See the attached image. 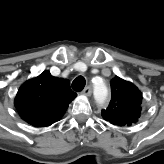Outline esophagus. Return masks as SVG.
<instances>
[{"label":"esophagus","instance_id":"34e87169","mask_svg":"<svg viewBox=\"0 0 164 164\" xmlns=\"http://www.w3.org/2000/svg\"><path fill=\"white\" fill-rule=\"evenodd\" d=\"M82 94L85 96H91V94H92L91 86L85 87L84 90L82 91Z\"/></svg>","mask_w":164,"mask_h":164}]
</instances>
